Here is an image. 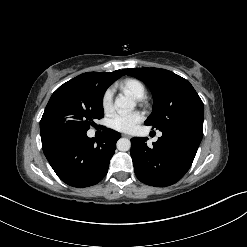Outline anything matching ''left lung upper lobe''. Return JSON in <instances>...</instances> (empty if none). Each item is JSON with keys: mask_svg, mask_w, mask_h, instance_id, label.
Listing matches in <instances>:
<instances>
[{"mask_svg": "<svg viewBox=\"0 0 247 247\" xmlns=\"http://www.w3.org/2000/svg\"><path fill=\"white\" fill-rule=\"evenodd\" d=\"M124 73L142 80L151 90L153 111L145 125L161 132L183 128L202 138L203 102L186 79L160 68H130Z\"/></svg>", "mask_w": 247, "mask_h": 247, "instance_id": "left-lung-upper-lobe-1", "label": "left lung upper lobe"}]
</instances>
